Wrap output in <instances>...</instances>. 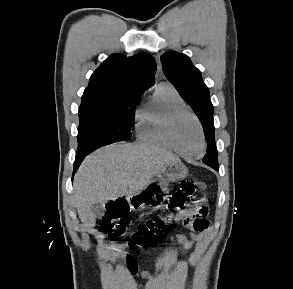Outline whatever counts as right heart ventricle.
Returning <instances> with one entry per match:
<instances>
[{"label":"right heart ventricle","mask_w":293,"mask_h":289,"mask_svg":"<svg viewBox=\"0 0 293 289\" xmlns=\"http://www.w3.org/2000/svg\"><path fill=\"white\" fill-rule=\"evenodd\" d=\"M186 108L184 100L168 83L159 84L150 99L136 113L135 132L146 144L173 150L166 135L170 114L176 109Z\"/></svg>","instance_id":"right-heart-ventricle-1"}]
</instances>
